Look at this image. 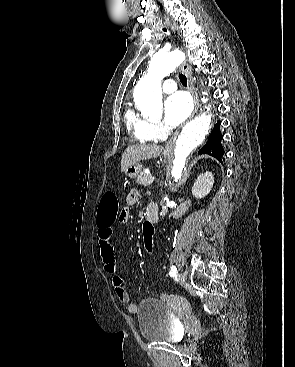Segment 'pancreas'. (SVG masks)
<instances>
[{
	"label": "pancreas",
	"instance_id": "cf45deb5",
	"mask_svg": "<svg viewBox=\"0 0 295 367\" xmlns=\"http://www.w3.org/2000/svg\"><path fill=\"white\" fill-rule=\"evenodd\" d=\"M151 177V174H146L144 172L140 173V175L137 177V183L141 186H148V180Z\"/></svg>",
	"mask_w": 295,
	"mask_h": 367
}]
</instances>
